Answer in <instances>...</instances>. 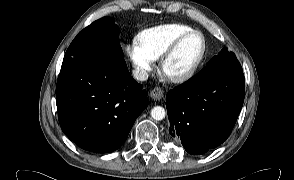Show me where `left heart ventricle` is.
Instances as JSON below:
<instances>
[{
	"mask_svg": "<svg viewBox=\"0 0 294 180\" xmlns=\"http://www.w3.org/2000/svg\"><path fill=\"white\" fill-rule=\"evenodd\" d=\"M202 48L199 36L194 35L184 41L176 53L166 63L164 73L168 76H178L187 71L193 64Z\"/></svg>",
	"mask_w": 294,
	"mask_h": 180,
	"instance_id": "1",
	"label": "left heart ventricle"
}]
</instances>
